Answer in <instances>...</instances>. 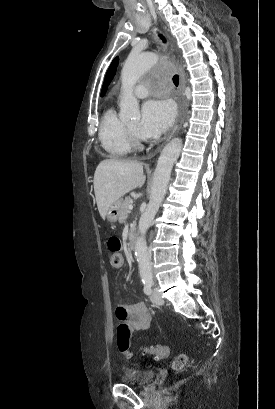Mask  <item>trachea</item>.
<instances>
[{
  "instance_id": "3493384b",
  "label": "trachea",
  "mask_w": 275,
  "mask_h": 409,
  "mask_svg": "<svg viewBox=\"0 0 275 409\" xmlns=\"http://www.w3.org/2000/svg\"><path fill=\"white\" fill-rule=\"evenodd\" d=\"M159 37L162 39L163 43H166V39L162 34H159ZM173 82L176 85V87H178V85H179V76L178 75H174Z\"/></svg>"
}]
</instances>
